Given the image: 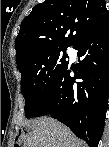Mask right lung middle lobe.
Here are the masks:
<instances>
[{
  "mask_svg": "<svg viewBox=\"0 0 109 147\" xmlns=\"http://www.w3.org/2000/svg\"><path fill=\"white\" fill-rule=\"evenodd\" d=\"M62 51V52H61ZM66 48L43 52L19 68L26 117H35L48 91L68 64Z\"/></svg>",
  "mask_w": 109,
  "mask_h": 147,
  "instance_id": "1",
  "label": "right lung middle lobe"
}]
</instances>
